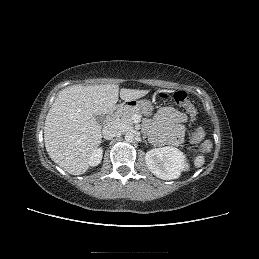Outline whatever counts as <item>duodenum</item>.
<instances>
[{
	"label": "duodenum",
	"mask_w": 259,
	"mask_h": 259,
	"mask_svg": "<svg viewBox=\"0 0 259 259\" xmlns=\"http://www.w3.org/2000/svg\"><path fill=\"white\" fill-rule=\"evenodd\" d=\"M124 107L123 104L116 105L113 107V109L108 113L106 117V123L110 124L114 121V118L119 110H121Z\"/></svg>",
	"instance_id": "1"
}]
</instances>
